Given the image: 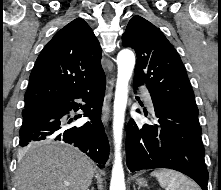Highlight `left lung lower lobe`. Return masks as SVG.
Instances as JSON below:
<instances>
[{
  "label": "left lung lower lobe",
  "instance_id": "0a47b994",
  "mask_svg": "<svg viewBox=\"0 0 221 190\" xmlns=\"http://www.w3.org/2000/svg\"><path fill=\"white\" fill-rule=\"evenodd\" d=\"M140 85L134 80V90ZM152 102L157 124L137 125L133 119L128 123L126 161L129 170L174 169L207 190L208 171L198 117L165 106L153 97Z\"/></svg>",
  "mask_w": 221,
  "mask_h": 190
}]
</instances>
